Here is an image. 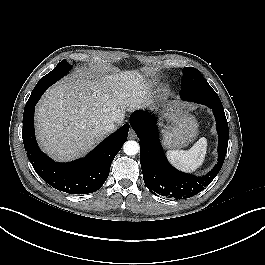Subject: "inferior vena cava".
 <instances>
[{
	"label": "inferior vena cava",
	"mask_w": 265,
	"mask_h": 265,
	"mask_svg": "<svg viewBox=\"0 0 265 265\" xmlns=\"http://www.w3.org/2000/svg\"><path fill=\"white\" fill-rule=\"evenodd\" d=\"M116 128H117V125L115 122H109L104 127L105 131L107 132H113L116 130Z\"/></svg>",
	"instance_id": "1"
}]
</instances>
